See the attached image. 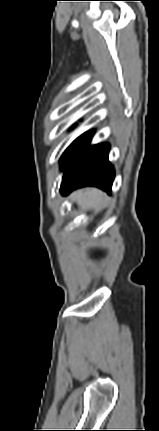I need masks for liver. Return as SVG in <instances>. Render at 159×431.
Masks as SVG:
<instances>
[{
    "label": "liver",
    "mask_w": 159,
    "mask_h": 431,
    "mask_svg": "<svg viewBox=\"0 0 159 431\" xmlns=\"http://www.w3.org/2000/svg\"><path fill=\"white\" fill-rule=\"evenodd\" d=\"M73 200L79 206L98 212L106 205L108 197L101 190L96 188H86L75 192L73 194Z\"/></svg>",
    "instance_id": "6515ba94"
}]
</instances>
